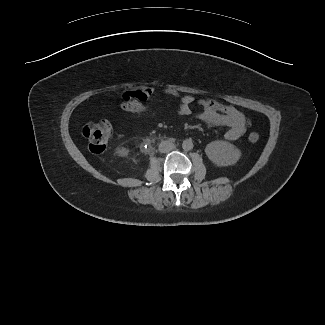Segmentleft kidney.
<instances>
[{"label":"left kidney","mask_w":325,"mask_h":325,"mask_svg":"<svg viewBox=\"0 0 325 325\" xmlns=\"http://www.w3.org/2000/svg\"><path fill=\"white\" fill-rule=\"evenodd\" d=\"M208 158L217 166L234 165L241 157V151L233 144L217 140L209 143L205 148Z\"/></svg>","instance_id":"1"}]
</instances>
